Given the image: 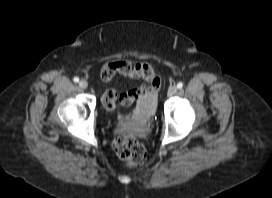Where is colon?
I'll return each instance as SVG.
<instances>
[{
    "mask_svg": "<svg viewBox=\"0 0 272 198\" xmlns=\"http://www.w3.org/2000/svg\"><path fill=\"white\" fill-rule=\"evenodd\" d=\"M112 73L113 70L106 67L103 70V77L109 79ZM114 149L118 157L130 167L141 165L146 161L144 146L133 136L122 135L116 138Z\"/></svg>",
    "mask_w": 272,
    "mask_h": 198,
    "instance_id": "obj_1",
    "label": "colon"
}]
</instances>
